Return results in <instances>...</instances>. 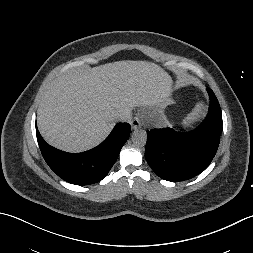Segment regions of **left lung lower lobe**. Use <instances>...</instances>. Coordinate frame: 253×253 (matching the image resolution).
I'll return each instance as SVG.
<instances>
[{
    "label": "left lung lower lobe",
    "mask_w": 253,
    "mask_h": 253,
    "mask_svg": "<svg viewBox=\"0 0 253 253\" xmlns=\"http://www.w3.org/2000/svg\"><path fill=\"white\" fill-rule=\"evenodd\" d=\"M210 111L195 130L180 133L171 128L147 131L146 160L167 181H183L203 172L214 158L222 132V113L211 89Z\"/></svg>",
    "instance_id": "obj_1"
}]
</instances>
